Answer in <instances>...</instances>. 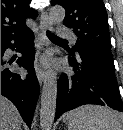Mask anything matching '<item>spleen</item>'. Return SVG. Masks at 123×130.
I'll return each instance as SVG.
<instances>
[{
	"label": "spleen",
	"mask_w": 123,
	"mask_h": 130,
	"mask_svg": "<svg viewBox=\"0 0 123 130\" xmlns=\"http://www.w3.org/2000/svg\"><path fill=\"white\" fill-rule=\"evenodd\" d=\"M69 130H123L116 112L108 107L84 105L65 114Z\"/></svg>",
	"instance_id": "obj_1"
}]
</instances>
